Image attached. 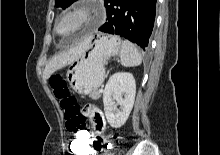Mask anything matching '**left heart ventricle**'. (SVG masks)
Segmentation results:
<instances>
[{
  "label": "left heart ventricle",
  "instance_id": "b2bd125f",
  "mask_svg": "<svg viewBox=\"0 0 220 155\" xmlns=\"http://www.w3.org/2000/svg\"><path fill=\"white\" fill-rule=\"evenodd\" d=\"M77 26V20L74 18L63 19L58 24V31L61 34L71 33Z\"/></svg>",
  "mask_w": 220,
  "mask_h": 155
}]
</instances>
